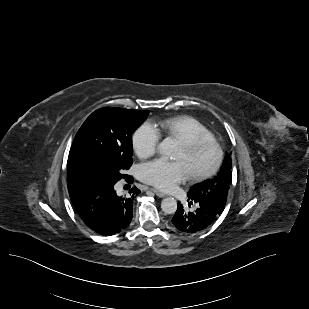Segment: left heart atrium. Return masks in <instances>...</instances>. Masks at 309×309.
<instances>
[{
  "instance_id": "1",
  "label": "left heart atrium",
  "mask_w": 309,
  "mask_h": 309,
  "mask_svg": "<svg viewBox=\"0 0 309 309\" xmlns=\"http://www.w3.org/2000/svg\"><path fill=\"white\" fill-rule=\"evenodd\" d=\"M137 174L145 183L163 191H171L178 184L187 180L190 172L183 161L158 158L141 164Z\"/></svg>"
}]
</instances>
